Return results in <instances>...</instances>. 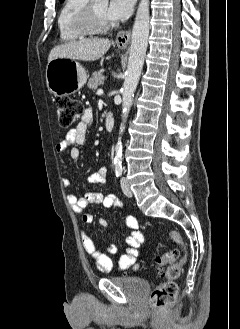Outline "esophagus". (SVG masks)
<instances>
[{
    "label": "esophagus",
    "mask_w": 240,
    "mask_h": 329,
    "mask_svg": "<svg viewBox=\"0 0 240 329\" xmlns=\"http://www.w3.org/2000/svg\"><path fill=\"white\" fill-rule=\"evenodd\" d=\"M130 35H131L130 30L119 32L115 40L116 45L121 48L126 47L130 42Z\"/></svg>",
    "instance_id": "34e87169"
}]
</instances>
